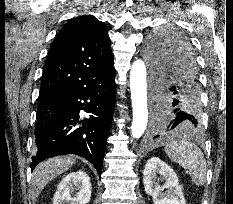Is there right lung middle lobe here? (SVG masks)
<instances>
[{"label": "right lung middle lobe", "instance_id": "right-lung-middle-lobe-1", "mask_svg": "<svg viewBox=\"0 0 233 204\" xmlns=\"http://www.w3.org/2000/svg\"><path fill=\"white\" fill-rule=\"evenodd\" d=\"M59 118V112L52 108L38 105L37 124L35 128V135L39 136L47 131L52 124Z\"/></svg>", "mask_w": 233, "mask_h": 204}]
</instances>
